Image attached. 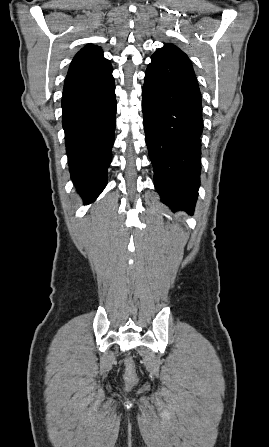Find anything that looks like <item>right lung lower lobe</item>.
Returning a JSON list of instances; mask_svg holds the SVG:
<instances>
[{
	"label": "right lung lower lobe",
	"mask_w": 269,
	"mask_h": 447,
	"mask_svg": "<svg viewBox=\"0 0 269 447\" xmlns=\"http://www.w3.org/2000/svg\"><path fill=\"white\" fill-rule=\"evenodd\" d=\"M62 110L71 178L89 204L107 183L114 142L116 98L110 62L67 74Z\"/></svg>",
	"instance_id": "1"
}]
</instances>
